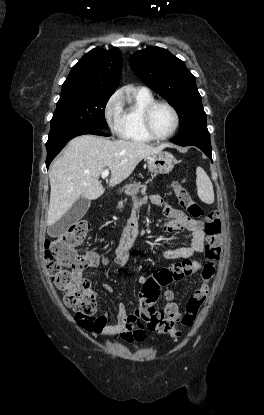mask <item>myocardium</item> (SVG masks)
I'll list each match as a JSON object with an SVG mask.
<instances>
[{
	"label": "myocardium",
	"mask_w": 264,
	"mask_h": 415,
	"mask_svg": "<svg viewBox=\"0 0 264 415\" xmlns=\"http://www.w3.org/2000/svg\"><path fill=\"white\" fill-rule=\"evenodd\" d=\"M158 106L167 107L172 112L173 117H174V126H173L172 130L168 134L162 135V136L155 133V131L152 127V123H151L152 113H153L154 109ZM179 123H180V118H179V114H178L177 110L175 109V107L173 105H171L170 103H168L166 101H157V100H155V101L151 102L150 104H148L142 111V124H143L144 131L153 140H166V139L171 138L176 133V131L178 130Z\"/></svg>",
	"instance_id": "myocardium-1"
}]
</instances>
